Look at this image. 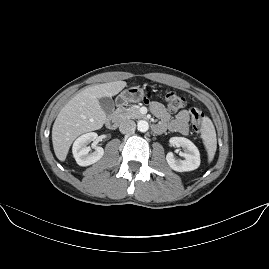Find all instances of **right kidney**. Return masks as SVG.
Instances as JSON below:
<instances>
[{"label":"right kidney","instance_id":"ca27d5eb","mask_svg":"<svg viewBox=\"0 0 269 269\" xmlns=\"http://www.w3.org/2000/svg\"><path fill=\"white\" fill-rule=\"evenodd\" d=\"M98 137L97 133L89 132L79 136L73 143L72 154L80 166H86L95 163L99 160L103 154L104 150L100 146H96L94 151H91L87 144L90 141H94Z\"/></svg>","mask_w":269,"mask_h":269}]
</instances>
